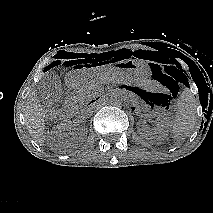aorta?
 Returning a JSON list of instances; mask_svg holds the SVG:
<instances>
[{
    "mask_svg": "<svg viewBox=\"0 0 213 213\" xmlns=\"http://www.w3.org/2000/svg\"><path fill=\"white\" fill-rule=\"evenodd\" d=\"M108 102L112 106L119 107L123 103V97L119 93H113L110 95Z\"/></svg>",
    "mask_w": 213,
    "mask_h": 213,
    "instance_id": "obj_1",
    "label": "aorta"
}]
</instances>
